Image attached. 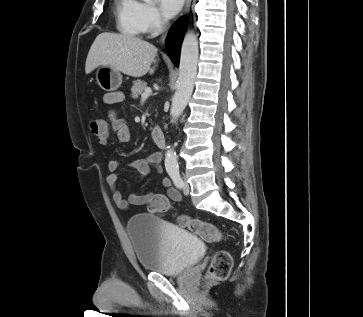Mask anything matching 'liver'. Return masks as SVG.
I'll list each match as a JSON object with an SVG mask.
<instances>
[{"instance_id":"obj_1","label":"liver","mask_w":363,"mask_h":317,"mask_svg":"<svg viewBox=\"0 0 363 317\" xmlns=\"http://www.w3.org/2000/svg\"><path fill=\"white\" fill-rule=\"evenodd\" d=\"M158 49L138 37L114 33H101L93 42L87 55L85 73H91L101 65H108L132 77L153 74L151 64Z\"/></svg>"}]
</instances>
